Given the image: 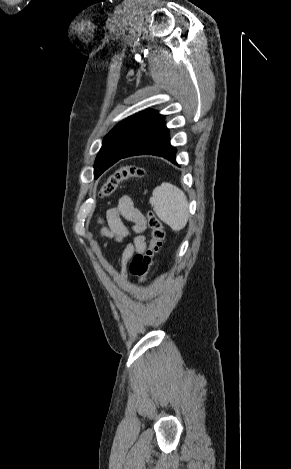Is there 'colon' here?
<instances>
[{
    "label": "colon",
    "instance_id": "5ec220e1",
    "mask_svg": "<svg viewBox=\"0 0 291 469\" xmlns=\"http://www.w3.org/2000/svg\"><path fill=\"white\" fill-rule=\"evenodd\" d=\"M145 175V170L140 166L132 164L123 165L107 177L101 187L100 194L102 196H110L121 183L130 179L143 178ZM146 218L151 230L149 245L143 253L136 254L129 265L130 273L140 282L147 280L153 259L162 247L165 237L164 227L160 219L151 211L147 213Z\"/></svg>",
    "mask_w": 291,
    "mask_h": 469
}]
</instances>
